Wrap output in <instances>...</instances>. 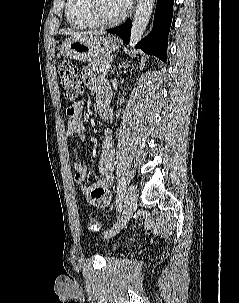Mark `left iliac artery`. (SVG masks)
<instances>
[{
  "mask_svg": "<svg viewBox=\"0 0 239 303\" xmlns=\"http://www.w3.org/2000/svg\"><path fill=\"white\" fill-rule=\"evenodd\" d=\"M126 188V179L125 177H121L119 179V184L117 187V197H116V207L118 211H121L122 208V200L125 194Z\"/></svg>",
  "mask_w": 239,
  "mask_h": 303,
  "instance_id": "obj_1",
  "label": "left iliac artery"
}]
</instances>
